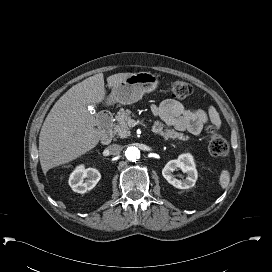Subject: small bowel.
Masks as SVG:
<instances>
[{
    "label": "small bowel",
    "mask_w": 272,
    "mask_h": 272,
    "mask_svg": "<svg viewBox=\"0 0 272 272\" xmlns=\"http://www.w3.org/2000/svg\"><path fill=\"white\" fill-rule=\"evenodd\" d=\"M154 114L167 126H172L180 131H188L194 135L200 134L208 122L215 127L220 125L218 112L213 106L207 110L192 109L172 99L164 100L154 109Z\"/></svg>",
    "instance_id": "c3829d8e"
}]
</instances>
